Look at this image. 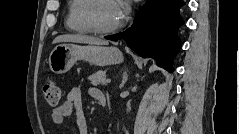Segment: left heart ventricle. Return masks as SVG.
<instances>
[{
  "instance_id": "b2bd125f",
  "label": "left heart ventricle",
  "mask_w": 239,
  "mask_h": 134,
  "mask_svg": "<svg viewBox=\"0 0 239 134\" xmlns=\"http://www.w3.org/2000/svg\"><path fill=\"white\" fill-rule=\"evenodd\" d=\"M95 19L99 26L103 28L112 27L119 23L115 2L103 0L98 3L95 10Z\"/></svg>"
}]
</instances>
